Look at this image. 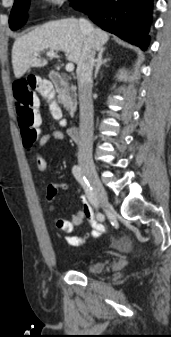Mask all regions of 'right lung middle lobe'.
<instances>
[{
    "instance_id": "1",
    "label": "right lung middle lobe",
    "mask_w": 171,
    "mask_h": 337,
    "mask_svg": "<svg viewBox=\"0 0 171 337\" xmlns=\"http://www.w3.org/2000/svg\"><path fill=\"white\" fill-rule=\"evenodd\" d=\"M29 3L30 0H15L9 18V24L12 30L19 29L25 24Z\"/></svg>"
}]
</instances>
